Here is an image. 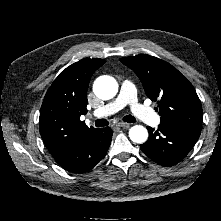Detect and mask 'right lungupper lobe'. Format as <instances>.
Here are the masks:
<instances>
[{
    "label": "right lung upper lobe",
    "mask_w": 221,
    "mask_h": 221,
    "mask_svg": "<svg viewBox=\"0 0 221 221\" xmlns=\"http://www.w3.org/2000/svg\"><path fill=\"white\" fill-rule=\"evenodd\" d=\"M103 59L84 58L62 71L43 100L39 128L54 159L62 156L97 129L80 120L87 113V90L92 74Z\"/></svg>",
    "instance_id": "1"
}]
</instances>
